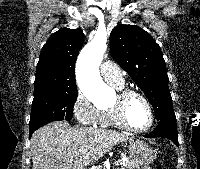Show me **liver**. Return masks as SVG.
I'll return each mask as SVG.
<instances>
[{
	"instance_id": "liver-1",
	"label": "liver",
	"mask_w": 200,
	"mask_h": 169,
	"mask_svg": "<svg viewBox=\"0 0 200 169\" xmlns=\"http://www.w3.org/2000/svg\"><path fill=\"white\" fill-rule=\"evenodd\" d=\"M128 140V135L112 130L52 122L32 135L33 169H85L113 146Z\"/></svg>"
}]
</instances>
